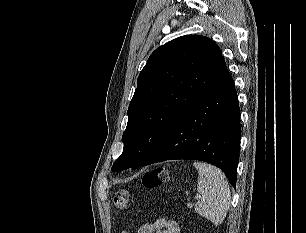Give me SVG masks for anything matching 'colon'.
Here are the masks:
<instances>
[{
  "instance_id": "5ec220e1",
  "label": "colon",
  "mask_w": 306,
  "mask_h": 233,
  "mask_svg": "<svg viewBox=\"0 0 306 233\" xmlns=\"http://www.w3.org/2000/svg\"><path fill=\"white\" fill-rule=\"evenodd\" d=\"M168 180L167 169L163 166L156 167L147 172L142 179V183L146 188H157L164 185ZM129 203V193L122 189L119 190L114 197V205L117 210H124Z\"/></svg>"
}]
</instances>
